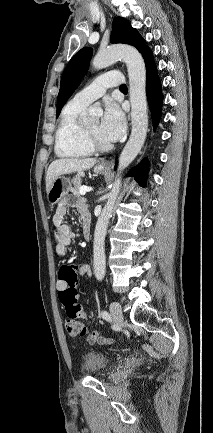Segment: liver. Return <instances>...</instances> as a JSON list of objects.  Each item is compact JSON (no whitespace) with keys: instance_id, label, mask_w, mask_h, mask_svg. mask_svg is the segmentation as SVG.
Instances as JSON below:
<instances>
[{"instance_id":"liver-1","label":"liver","mask_w":213,"mask_h":433,"mask_svg":"<svg viewBox=\"0 0 213 433\" xmlns=\"http://www.w3.org/2000/svg\"><path fill=\"white\" fill-rule=\"evenodd\" d=\"M94 158L76 159L64 158L53 161L46 174V191L50 189L53 182L61 175L80 172L90 169L96 164Z\"/></svg>"}]
</instances>
